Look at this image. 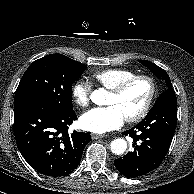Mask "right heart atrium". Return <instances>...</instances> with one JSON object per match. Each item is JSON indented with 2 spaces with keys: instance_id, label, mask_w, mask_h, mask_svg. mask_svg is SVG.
Segmentation results:
<instances>
[{
  "instance_id": "right-heart-atrium-1",
  "label": "right heart atrium",
  "mask_w": 194,
  "mask_h": 194,
  "mask_svg": "<svg viewBox=\"0 0 194 194\" xmlns=\"http://www.w3.org/2000/svg\"><path fill=\"white\" fill-rule=\"evenodd\" d=\"M92 86L86 79H77L71 87V97L78 107H86L89 104Z\"/></svg>"
}]
</instances>
